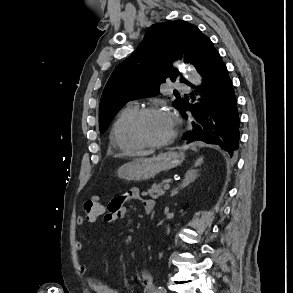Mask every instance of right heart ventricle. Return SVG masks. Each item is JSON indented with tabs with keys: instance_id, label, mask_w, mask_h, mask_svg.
<instances>
[{
	"instance_id": "e07e8e85",
	"label": "right heart ventricle",
	"mask_w": 293,
	"mask_h": 293,
	"mask_svg": "<svg viewBox=\"0 0 293 293\" xmlns=\"http://www.w3.org/2000/svg\"><path fill=\"white\" fill-rule=\"evenodd\" d=\"M138 107L129 104L116 116L110 131V142L114 148L125 153H136L145 148L131 134V121Z\"/></svg>"
}]
</instances>
